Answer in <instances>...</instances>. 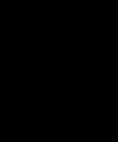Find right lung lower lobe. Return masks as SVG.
I'll list each match as a JSON object with an SVG mask.
<instances>
[{
  "instance_id": "obj_1",
  "label": "right lung lower lobe",
  "mask_w": 118,
  "mask_h": 142,
  "mask_svg": "<svg viewBox=\"0 0 118 142\" xmlns=\"http://www.w3.org/2000/svg\"><path fill=\"white\" fill-rule=\"evenodd\" d=\"M38 117L39 109L37 108L35 113L31 115L27 120H25L15 131L8 133L6 130H4L6 135H10V138H8V136L6 137V142H19L32 130Z\"/></svg>"
}]
</instances>
